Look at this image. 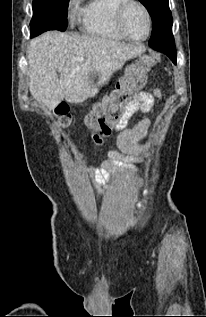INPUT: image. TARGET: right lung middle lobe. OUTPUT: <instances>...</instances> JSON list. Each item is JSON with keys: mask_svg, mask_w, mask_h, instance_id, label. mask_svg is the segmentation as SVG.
<instances>
[{"mask_svg": "<svg viewBox=\"0 0 206 317\" xmlns=\"http://www.w3.org/2000/svg\"><path fill=\"white\" fill-rule=\"evenodd\" d=\"M69 0H33L31 37L48 30L65 31Z\"/></svg>", "mask_w": 206, "mask_h": 317, "instance_id": "1", "label": "right lung middle lobe"}]
</instances>
